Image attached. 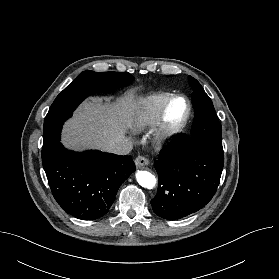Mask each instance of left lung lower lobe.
I'll use <instances>...</instances> for the list:
<instances>
[{
	"label": "left lung lower lobe",
	"mask_w": 279,
	"mask_h": 279,
	"mask_svg": "<svg viewBox=\"0 0 279 279\" xmlns=\"http://www.w3.org/2000/svg\"><path fill=\"white\" fill-rule=\"evenodd\" d=\"M224 156L214 148L188 137H178L154 163L158 173L154 213L176 220L204 207L219 185Z\"/></svg>",
	"instance_id": "1"
}]
</instances>
